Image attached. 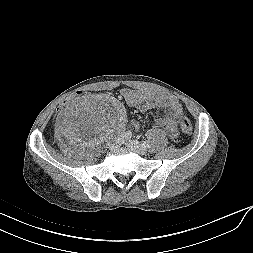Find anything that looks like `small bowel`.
Masks as SVG:
<instances>
[{
	"label": "small bowel",
	"instance_id": "1",
	"mask_svg": "<svg viewBox=\"0 0 253 253\" xmlns=\"http://www.w3.org/2000/svg\"><path fill=\"white\" fill-rule=\"evenodd\" d=\"M121 95L128 106L134 107L141 112L151 109H163L165 115L156 120L157 127L163 128L171 138L178 136V122L184 115L183 106L179 101L151 92L132 89H123ZM132 126L137 128L138 122L132 121Z\"/></svg>",
	"mask_w": 253,
	"mask_h": 253
}]
</instances>
